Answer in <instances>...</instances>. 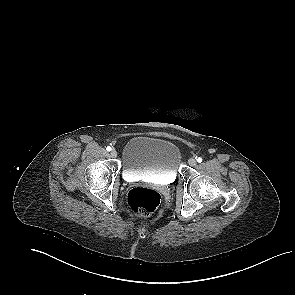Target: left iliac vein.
I'll return each instance as SVG.
<instances>
[{
  "instance_id": "1",
  "label": "left iliac vein",
  "mask_w": 295,
  "mask_h": 295,
  "mask_svg": "<svg viewBox=\"0 0 295 295\" xmlns=\"http://www.w3.org/2000/svg\"><path fill=\"white\" fill-rule=\"evenodd\" d=\"M188 164L193 167L197 164V161H196V159L191 158V159H189Z\"/></svg>"
}]
</instances>
